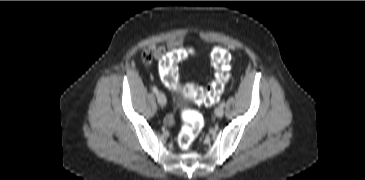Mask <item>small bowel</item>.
<instances>
[{
	"label": "small bowel",
	"mask_w": 365,
	"mask_h": 180,
	"mask_svg": "<svg viewBox=\"0 0 365 180\" xmlns=\"http://www.w3.org/2000/svg\"><path fill=\"white\" fill-rule=\"evenodd\" d=\"M182 43L181 40H174L169 42L166 46H160L155 48L154 54L157 58L163 56L167 50H174Z\"/></svg>",
	"instance_id": "small-bowel-1"
}]
</instances>
